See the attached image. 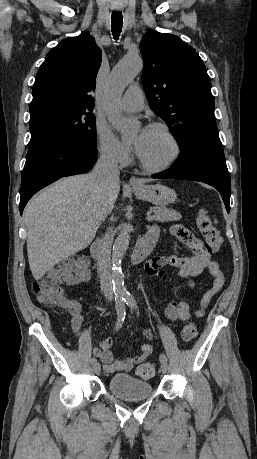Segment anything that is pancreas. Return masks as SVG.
Instances as JSON below:
<instances>
[{"instance_id": "1", "label": "pancreas", "mask_w": 257, "mask_h": 459, "mask_svg": "<svg viewBox=\"0 0 257 459\" xmlns=\"http://www.w3.org/2000/svg\"><path fill=\"white\" fill-rule=\"evenodd\" d=\"M150 212L154 213L153 219L158 222H171L181 219V215L178 212L166 207H151Z\"/></svg>"}]
</instances>
